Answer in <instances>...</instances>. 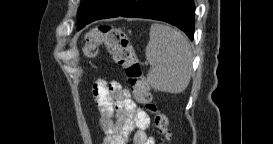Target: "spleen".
Segmentation results:
<instances>
[{"label": "spleen", "instance_id": "obj_1", "mask_svg": "<svg viewBox=\"0 0 273 144\" xmlns=\"http://www.w3.org/2000/svg\"><path fill=\"white\" fill-rule=\"evenodd\" d=\"M145 55L151 68L147 82L158 91L178 94L191 78L192 51L188 39L177 29L154 23Z\"/></svg>", "mask_w": 273, "mask_h": 144}]
</instances>
